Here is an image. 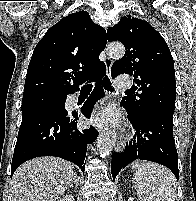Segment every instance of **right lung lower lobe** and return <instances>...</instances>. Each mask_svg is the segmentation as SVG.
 <instances>
[{
	"instance_id": "1",
	"label": "right lung lower lobe",
	"mask_w": 196,
	"mask_h": 201,
	"mask_svg": "<svg viewBox=\"0 0 196 201\" xmlns=\"http://www.w3.org/2000/svg\"><path fill=\"white\" fill-rule=\"evenodd\" d=\"M102 73L92 81L96 86L82 107V114L89 118L94 103L103 96L99 81ZM76 112L60 113L51 110H31L22 113V123L12 158L11 176L23 162L39 156H56L78 165L84 172L86 146L95 141L98 132L90 127L77 129Z\"/></svg>"
}]
</instances>
